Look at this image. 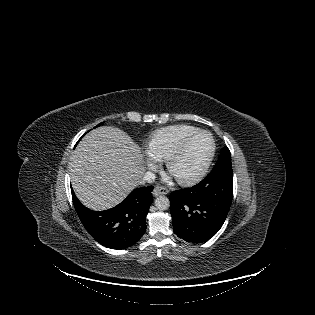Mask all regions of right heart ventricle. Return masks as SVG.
<instances>
[{
	"label": "right heart ventricle",
	"mask_w": 315,
	"mask_h": 315,
	"mask_svg": "<svg viewBox=\"0 0 315 315\" xmlns=\"http://www.w3.org/2000/svg\"><path fill=\"white\" fill-rule=\"evenodd\" d=\"M198 128L177 124L155 130L148 139L147 150L157 160H165L180 141Z\"/></svg>",
	"instance_id": "right-heart-ventricle-1"
}]
</instances>
